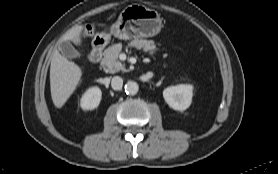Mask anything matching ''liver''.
<instances>
[{
    "label": "liver",
    "instance_id": "6515ba94",
    "mask_svg": "<svg viewBox=\"0 0 278 174\" xmlns=\"http://www.w3.org/2000/svg\"><path fill=\"white\" fill-rule=\"evenodd\" d=\"M84 26L76 25L63 36V41L71 40L80 44ZM82 70L72 61L55 50L50 65L51 97L57 108H62L81 82Z\"/></svg>",
    "mask_w": 278,
    "mask_h": 174
}]
</instances>
